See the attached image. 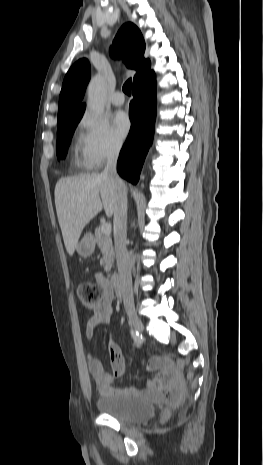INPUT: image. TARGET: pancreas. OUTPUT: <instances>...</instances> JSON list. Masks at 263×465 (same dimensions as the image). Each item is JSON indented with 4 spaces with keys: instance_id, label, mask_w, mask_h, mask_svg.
Returning <instances> with one entry per match:
<instances>
[{
    "instance_id": "1",
    "label": "pancreas",
    "mask_w": 263,
    "mask_h": 465,
    "mask_svg": "<svg viewBox=\"0 0 263 465\" xmlns=\"http://www.w3.org/2000/svg\"><path fill=\"white\" fill-rule=\"evenodd\" d=\"M95 241L102 253L100 264L104 266V270L109 272L114 262V249L110 234H103L101 227L95 229Z\"/></svg>"
}]
</instances>
